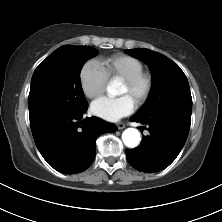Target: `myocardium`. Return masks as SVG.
<instances>
[{"label":"myocardium","instance_id":"obj_1","mask_svg":"<svg viewBox=\"0 0 222 222\" xmlns=\"http://www.w3.org/2000/svg\"><path fill=\"white\" fill-rule=\"evenodd\" d=\"M122 82L135 95L134 102L137 106L145 104L153 91V77L145 71L124 79Z\"/></svg>","mask_w":222,"mask_h":222}]
</instances>
